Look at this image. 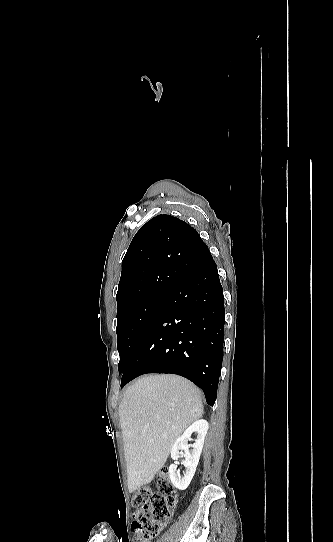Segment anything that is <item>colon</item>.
Segmentation results:
<instances>
[{"mask_svg": "<svg viewBox=\"0 0 333 542\" xmlns=\"http://www.w3.org/2000/svg\"><path fill=\"white\" fill-rule=\"evenodd\" d=\"M154 485L158 493L155 494L149 487H144L133 496L132 506L137 514L131 518L134 529L129 535L132 540L156 537L170 517V508L175 505L173 484L167 468L158 472Z\"/></svg>", "mask_w": 333, "mask_h": 542, "instance_id": "obj_1", "label": "colon"}]
</instances>
